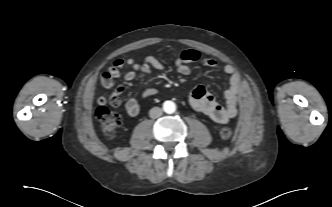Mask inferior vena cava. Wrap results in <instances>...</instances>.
<instances>
[{
    "mask_svg": "<svg viewBox=\"0 0 332 207\" xmlns=\"http://www.w3.org/2000/svg\"><path fill=\"white\" fill-rule=\"evenodd\" d=\"M149 116L152 119H156L160 116H162V109L159 107H153L150 111H149Z\"/></svg>",
    "mask_w": 332,
    "mask_h": 207,
    "instance_id": "obj_1",
    "label": "inferior vena cava"
}]
</instances>
